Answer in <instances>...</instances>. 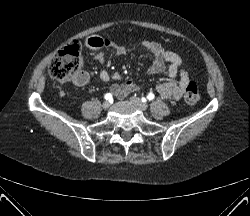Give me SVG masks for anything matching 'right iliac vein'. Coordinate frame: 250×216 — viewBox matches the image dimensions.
<instances>
[{
	"label": "right iliac vein",
	"mask_w": 250,
	"mask_h": 216,
	"mask_svg": "<svg viewBox=\"0 0 250 216\" xmlns=\"http://www.w3.org/2000/svg\"><path fill=\"white\" fill-rule=\"evenodd\" d=\"M103 109H108L110 107V103L108 101L103 102L102 104Z\"/></svg>",
	"instance_id": "right-iliac-vein-1"
}]
</instances>
